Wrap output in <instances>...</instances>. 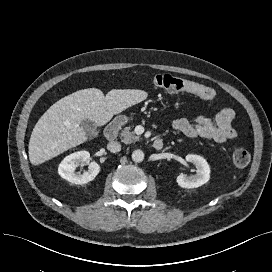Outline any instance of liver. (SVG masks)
<instances>
[{"label":"liver","instance_id":"liver-1","mask_svg":"<svg viewBox=\"0 0 272 272\" xmlns=\"http://www.w3.org/2000/svg\"><path fill=\"white\" fill-rule=\"evenodd\" d=\"M138 89H113L106 96L97 88L76 91L54 103L36 123L29 142L31 164L39 165L87 141L84 119L103 126L113 115L144 101Z\"/></svg>","mask_w":272,"mask_h":272}]
</instances>
